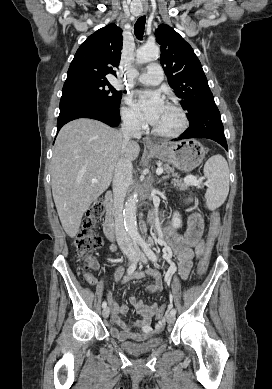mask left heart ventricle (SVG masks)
Wrapping results in <instances>:
<instances>
[{
	"label": "left heart ventricle",
	"mask_w": 272,
	"mask_h": 389,
	"mask_svg": "<svg viewBox=\"0 0 272 389\" xmlns=\"http://www.w3.org/2000/svg\"><path fill=\"white\" fill-rule=\"evenodd\" d=\"M179 122L180 118L178 113L173 108L165 104L153 126L162 131H171L179 125Z\"/></svg>",
	"instance_id": "left-heart-ventricle-1"
}]
</instances>
